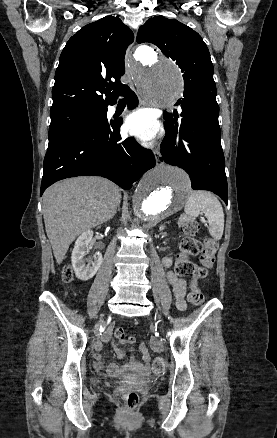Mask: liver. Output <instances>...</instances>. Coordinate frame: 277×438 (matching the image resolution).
Returning a JSON list of instances; mask_svg holds the SVG:
<instances>
[{
  "instance_id": "obj_1",
  "label": "liver",
  "mask_w": 277,
  "mask_h": 438,
  "mask_svg": "<svg viewBox=\"0 0 277 438\" xmlns=\"http://www.w3.org/2000/svg\"><path fill=\"white\" fill-rule=\"evenodd\" d=\"M120 202V188L96 176L68 178L50 186L43 194V218L57 264H62L79 234L111 220Z\"/></svg>"
}]
</instances>
